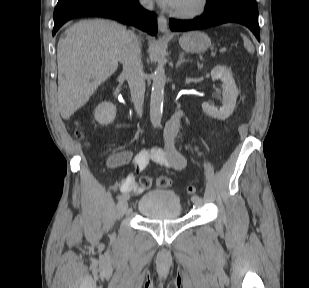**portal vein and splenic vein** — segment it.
<instances>
[{
	"instance_id": "portal-vein-and-splenic-vein-1",
	"label": "portal vein and splenic vein",
	"mask_w": 309,
	"mask_h": 288,
	"mask_svg": "<svg viewBox=\"0 0 309 288\" xmlns=\"http://www.w3.org/2000/svg\"><path fill=\"white\" fill-rule=\"evenodd\" d=\"M219 52H220V53L226 52V48H221V49L219 50Z\"/></svg>"
}]
</instances>
